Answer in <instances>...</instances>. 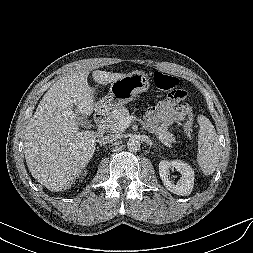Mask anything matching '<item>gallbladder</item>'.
<instances>
[{"label": "gallbladder", "mask_w": 253, "mask_h": 253, "mask_svg": "<svg viewBox=\"0 0 253 253\" xmlns=\"http://www.w3.org/2000/svg\"><path fill=\"white\" fill-rule=\"evenodd\" d=\"M76 114V122L84 127V128H90L91 127V122L85 117L84 115H81L77 110H75Z\"/></svg>", "instance_id": "obj_1"}]
</instances>
